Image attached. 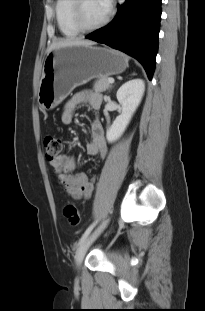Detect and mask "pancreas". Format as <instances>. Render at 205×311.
<instances>
[{
  "label": "pancreas",
  "mask_w": 205,
  "mask_h": 311,
  "mask_svg": "<svg viewBox=\"0 0 205 311\" xmlns=\"http://www.w3.org/2000/svg\"><path fill=\"white\" fill-rule=\"evenodd\" d=\"M108 77L107 76H102L100 77L95 83L93 89L96 92H104L111 88V84L108 82Z\"/></svg>",
  "instance_id": "cf45deb5"
}]
</instances>
